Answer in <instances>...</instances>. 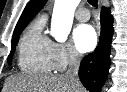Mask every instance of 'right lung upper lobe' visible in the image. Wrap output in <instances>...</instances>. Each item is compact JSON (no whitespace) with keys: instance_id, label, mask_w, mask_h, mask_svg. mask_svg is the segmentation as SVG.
I'll return each mask as SVG.
<instances>
[{"instance_id":"1","label":"right lung upper lobe","mask_w":127,"mask_h":92,"mask_svg":"<svg viewBox=\"0 0 127 92\" xmlns=\"http://www.w3.org/2000/svg\"><path fill=\"white\" fill-rule=\"evenodd\" d=\"M47 0H30L26 5L14 32L25 28L32 18L41 10Z\"/></svg>"}]
</instances>
